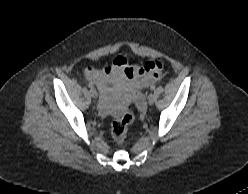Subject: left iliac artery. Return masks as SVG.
Instances as JSON below:
<instances>
[{"label":"left iliac artery","mask_w":248,"mask_h":194,"mask_svg":"<svg viewBox=\"0 0 248 194\" xmlns=\"http://www.w3.org/2000/svg\"><path fill=\"white\" fill-rule=\"evenodd\" d=\"M151 90H155V86L154 85L151 86Z\"/></svg>","instance_id":"44dca946"}]
</instances>
